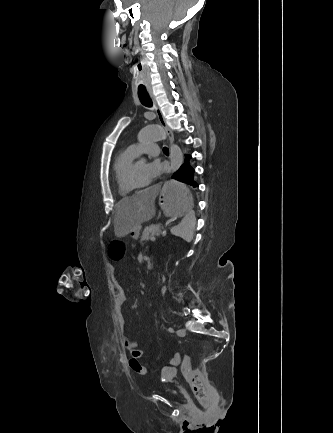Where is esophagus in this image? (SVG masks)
<instances>
[{
	"instance_id": "esophagus-1",
	"label": "esophagus",
	"mask_w": 333,
	"mask_h": 433,
	"mask_svg": "<svg viewBox=\"0 0 333 433\" xmlns=\"http://www.w3.org/2000/svg\"><path fill=\"white\" fill-rule=\"evenodd\" d=\"M147 91H148V94L150 96L151 101L153 102L154 109H155L156 114H157L158 122L161 125V127L165 130V132H166V134L168 136L169 142L172 143L173 142V134H172L171 130L166 125L165 118H164V116L162 114L161 109L158 107V105L156 103L153 91H152L151 88H148Z\"/></svg>"
}]
</instances>
